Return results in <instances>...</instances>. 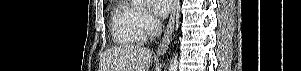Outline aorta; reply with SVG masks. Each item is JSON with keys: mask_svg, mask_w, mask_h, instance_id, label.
Masks as SVG:
<instances>
[{"mask_svg": "<svg viewBox=\"0 0 301 71\" xmlns=\"http://www.w3.org/2000/svg\"><path fill=\"white\" fill-rule=\"evenodd\" d=\"M133 6L143 7L146 5L147 0H131ZM168 71H178V55L174 54L171 61Z\"/></svg>", "mask_w": 301, "mask_h": 71, "instance_id": "762f6f07", "label": "aorta"}]
</instances>
